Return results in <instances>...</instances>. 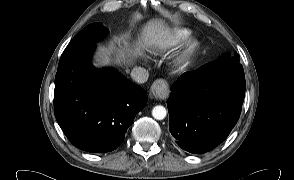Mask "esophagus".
I'll list each match as a JSON object with an SVG mask.
<instances>
[{
	"label": "esophagus",
	"instance_id": "1",
	"mask_svg": "<svg viewBox=\"0 0 294 180\" xmlns=\"http://www.w3.org/2000/svg\"><path fill=\"white\" fill-rule=\"evenodd\" d=\"M150 95L155 99H165L169 95L168 82L165 79L156 80L151 86Z\"/></svg>",
	"mask_w": 294,
	"mask_h": 180
}]
</instances>
